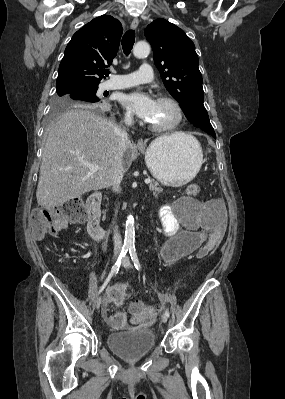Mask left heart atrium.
<instances>
[{
  "label": "left heart atrium",
  "mask_w": 285,
  "mask_h": 399,
  "mask_svg": "<svg viewBox=\"0 0 285 399\" xmlns=\"http://www.w3.org/2000/svg\"><path fill=\"white\" fill-rule=\"evenodd\" d=\"M121 102L138 117L147 122L152 119L157 103L150 94L138 90L124 94Z\"/></svg>",
  "instance_id": "obj_1"
}]
</instances>
